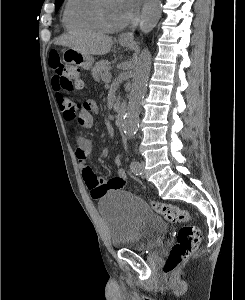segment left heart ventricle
Instances as JSON below:
<instances>
[{"instance_id": "1", "label": "left heart ventricle", "mask_w": 245, "mask_h": 300, "mask_svg": "<svg viewBox=\"0 0 245 300\" xmlns=\"http://www.w3.org/2000/svg\"><path fill=\"white\" fill-rule=\"evenodd\" d=\"M102 13L109 25H118L129 19L120 0H103Z\"/></svg>"}]
</instances>
